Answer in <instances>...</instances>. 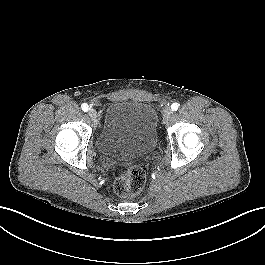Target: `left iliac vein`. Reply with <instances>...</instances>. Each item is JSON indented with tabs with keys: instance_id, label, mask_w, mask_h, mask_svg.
I'll return each instance as SVG.
<instances>
[{
	"instance_id": "1",
	"label": "left iliac vein",
	"mask_w": 265,
	"mask_h": 265,
	"mask_svg": "<svg viewBox=\"0 0 265 265\" xmlns=\"http://www.w3.org/2000/svg\"><path fill=\"white\" fill-rule=\"evenodd\" d=\"M171 117H172V111L170 109L165 110V112L163 114L164 123H168V121L171 119Z\"/></svg>"
}]
</instances>
